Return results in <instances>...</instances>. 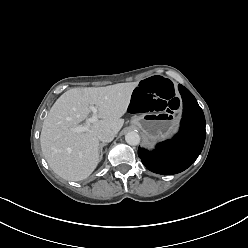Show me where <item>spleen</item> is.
<instances>
[{
	"mask_svg": "<svg viewBox=\"0 0 248 248\" xmlns=\"http://www.w3.org/2000/svg\"><path fill=\"white\" fill-rule=\"evenodd\" d=\"M174 131H175V129L172 130V133H173ZM172 133H171V134H172Z\"/></svg>",
	"mask_w": 248,
	"mask_h": 248,
	"instance_id": "obj_1",
	"label": "spleen"
}]
</instances>
